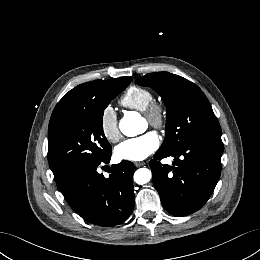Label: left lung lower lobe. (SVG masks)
<instances>
[{"label": "left lung lower lobe", "mask_w": 260, "mask_h": 260, "mask_svg": "<svg viewBox=\"0 0 260 260\" xmlns=\"http://www.w3.org/2000/svg\"><path fill=\"white\" fill-rule=\"evenodd\" d=\"M222 152L221 138H204L155 153L152 180L169 213L189 215L207 202L220 177ZM169 156L174 157L173 165L161 164Z\"/></svg>", "instance_id": "obj_1"}]
</instances>
